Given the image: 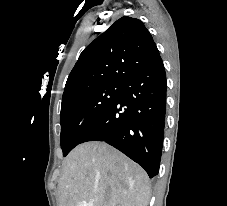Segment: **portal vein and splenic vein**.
<instances>
[{"label": "portal vein and splenic vein", "instance_id": "1", "mask_svg": "<svg viewBox=\"0 0 227 206\" xmlns=\"http://www.w3.org/2000/svg\"><path fill=\"white\" fill-rule=\"evenodd\" d=\"M79 206H93V202H88V203H82Z\"/></svg>", "mask_w": 227, "mask_h": 206}]
</instances>
